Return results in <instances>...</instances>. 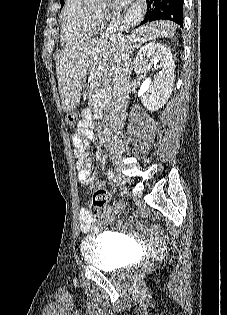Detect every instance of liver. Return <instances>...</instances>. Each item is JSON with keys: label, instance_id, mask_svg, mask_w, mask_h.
Segmentation results:
<instances>
[{"label": "liver", "instance_id": "liver-1", "mask_svg": "<svg viewBox=\"0 0 227 315\" xmlns=\"http://www.w3.org/2000/svg\"><path fill=\"white\" fill-rule=\"evenodd\" d=\"M176 29V24L171 21H155L137 28L125 37L120 34L113 39L102 36L58 53L55 57L56 73L63 111L70 113L76 109L88 74L92 77H112L121 54H126V50L131 62L134 45L141 46L158 38H172Z\"/></svg>", "mask_w": 227, "mask_h": 315}]
</instances>
